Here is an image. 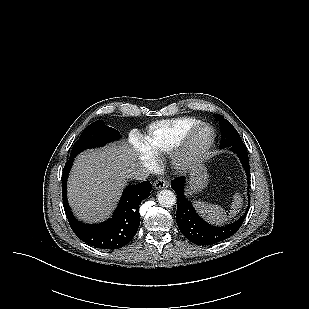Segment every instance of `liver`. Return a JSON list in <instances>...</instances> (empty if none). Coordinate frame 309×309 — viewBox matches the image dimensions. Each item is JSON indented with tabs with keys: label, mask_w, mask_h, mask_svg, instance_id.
Segmentation results:
<instances>
[{
	"label": "liver",
	"mask_w": 309,
	"mask_h": 309,
	"mask_svg": "<svg viewBox=\"0 0 309 309\" xmlns=\"http://www.w3.org/2000/svg\"><path fill=\"white\" fill-rule=\"evenodd\" d=\"M135 153L111 144L78 155L68 181V200L75 215L85 222H99L111 214L126 185L129 170L137 164Z\"/></svg>",
	"instance_id": "liver-1"
}]
</instances>
